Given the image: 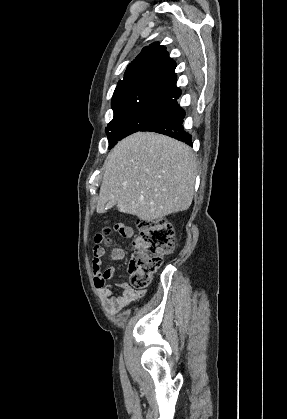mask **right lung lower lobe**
Here are the masks:
<instances>
[{"label": "right lung lower lobe", "instance_id": "98d812e1", "mask_svg": "<svg viewBox=\"0 0 287 419\" xmlns=\"http://www.w3.org/2000/svg\"><path fill=\"white\" fill-rule=\"evenodd\" d=\"M184 110L176 103L165 113L146 124L140 131L161 133L191 145V136L183 127Z\"/></svg>", "mask_w": 287, "mask_h": 419}]
</instances>
